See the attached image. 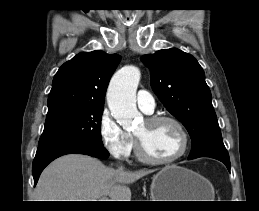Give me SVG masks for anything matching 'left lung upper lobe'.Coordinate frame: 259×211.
I'll return each mask as SVG.
<instances>
[{"mask_svg":"<svg viewBox=\"0 0 259 211\" xmlns=\"http://www.w3.org/2000/svg\"><path fill=\"white\" fill-rule=\"evenodd\" d=\"M141 59L151 70L153 91L190 134L192 149L188 158L228 157L211 92L197 60L176 48L143 55Z\"/></svg>","mask_w":259,"mask_h":211,"instance_id":"left-lung-upper-lobe-1","label":"left lung upper lobe"}]
</instances>
